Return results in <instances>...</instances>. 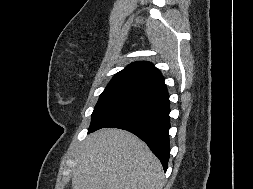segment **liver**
Segmentation results:
<instances>
[{"label": "liver", "instance_id": "1", "mask_svg": "<svg viewBox=\"0 0 253 189\" xmlns=\"http://www.w3.org/2000/svg\"><path fill=\"white\" fill-rule=\"evenodd\" d=\"M73 189H162L159 159L134 134L102 129L89 135L75 157Z\"/></svg>", "mask_w": 253, "mask_h": 189}]
</instances>
